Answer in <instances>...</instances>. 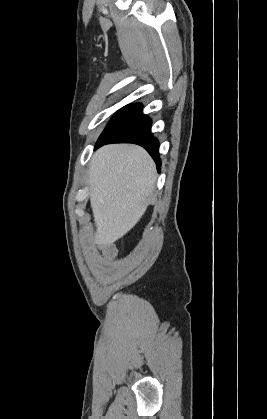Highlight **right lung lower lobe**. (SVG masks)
Segmentation results:
<instances>
[{"label": "right lung lower lobe", "mask_w": 267, "mask_h": 419, "mask_svg": "<svg viewBox=\"0 0 267 419\" xmlns=\"http://www.w3.org/2000/svg\"><path fill=\"white\" fill-rule=\"evenodd\" d=\"M109 143H134L145 148L160 172L159 142L151 135V120L142 113V105L130 104L120 109L100 135L95 149Z\"/></svg>", "instance_id": "right-lung-lower-lobe-1"}]
</instances>
